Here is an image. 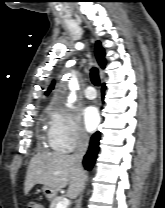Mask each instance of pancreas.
I'll list each match as a JSON object with an SVG mask.
<instances>
[{
  "label": "pancreas",
  "instance_id": "obj_1",
  "mask_svg": "<svg viewBox=\"0 0 165 208\" xmlns=\"http://www.w3.org/2000/svg\"><path fill=\"white\" fill-rule=\"evenodd\" d=\"M63 199H64V197H62V196L55 197V198L51 201L50 208H56L57 203L60 202V201H62Z\"/></svg>",
  "mask_w": 165,
  "mask_h": 208
}]
</instances>
